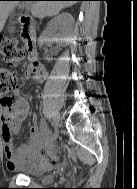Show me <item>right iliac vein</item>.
I'll list each match as a JSON object with an SVG mask.
<instances>
[{"mask_svg": "<svg viewBox=\"0 0 137 189\" xmlns=\"http://www.w3.org/2000/svg\"><path fill=\"white\" fill-rule=\"evenodd\" d=\"M59 121H60L59 115H57V116L53 119V121H52V126H53V128H54L55 130H57V128H58Z\"/></svg>", "mask_w": 137, "mask_h": 189, "instance_id": "63e3f726", "label": "right iliac vein"}]
</instances>
